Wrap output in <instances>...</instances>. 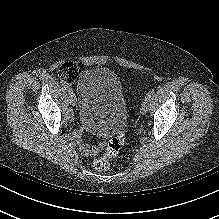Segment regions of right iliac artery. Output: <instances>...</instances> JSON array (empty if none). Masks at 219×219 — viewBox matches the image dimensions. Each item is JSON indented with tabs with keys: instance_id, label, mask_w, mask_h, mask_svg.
<instances>
[{
	"instance_id": "right-iliac-artery-1",
	"label": "right iliac artery",
	"mask_w": 219,
	"mask_h": 219,
	"mask_svg": "<svg viewBox=\"0 0 219 219\" xmlns=\"http://www.w3.org/2000/svg\"><path fill=\"white\" fill-rule=\"evenodd\" d=\"M68 90V93L71 94L72 93V89L70 87H66Z\"/></svg>"
}]
</instances>
